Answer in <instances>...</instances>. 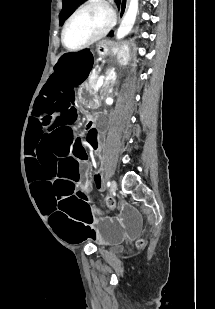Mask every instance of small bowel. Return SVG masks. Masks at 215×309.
<instances>
[{
  "instance_id": "1",
  "label": "small bowel",
  "mask_w": 215,
  "mask_h": 309,
  "mask_svg": "<svg viewBox=\"0 0 215 309\" xmlns=\"http://www.w3.org/2000/svg\"><path fill=\"white\" fill-rule=\"evenodd\" d=\"M87 127H88L89 129H94V125H93L91 122L88 123ZM91 133H94V134H91V138H90L91 143H92L95 147H98V146H99V138L97 137L96 132L92 131ZM113 205H114V204H111V205H108V206L113 207Z\"/></svg>"
}]
</instances>
